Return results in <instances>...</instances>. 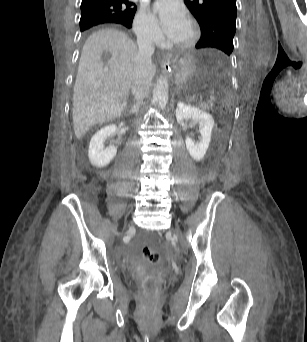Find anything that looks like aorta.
<instances>
[{
	"mask_svg": "<svg viewBox=\"0 0 307 342\" xmlns=\"http://www.w3.org/2000/svg\"><path fill=\"white\" fill-rule=\"evenodd\" d=\"M168 94H169V82L167 78H159L157 80L153 94H152V102L156 108H166V104L168 102Z\"/></svg>",
	"mask_w": 307,
	"mask_h": 342,
	"instance_id": "1",
	"label": "aorta"
}]
</instances>
